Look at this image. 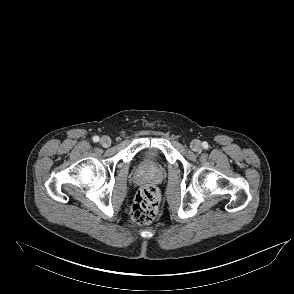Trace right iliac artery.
Instances as JSON below:
<instances>
[{"label":"right iliac artery","instance_id":"82829eb1","mask_svg":"<svg viewBox=\"0 0 294 294\" xmlns=\"http://www.w3.org/2000/svg\"><path fill=\"white\" fill-rule=\"evenodd\" d=\"M93 141H94V142H98V141H99V137H98V136H94V137H93Z\"/></svg>","mask_w":294,"mask_h":294}]
</instances>
